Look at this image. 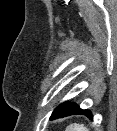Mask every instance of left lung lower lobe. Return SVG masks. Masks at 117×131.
I'll return each instance as SVG.
<instances>
[{"instance_id": "left-lung-lower-lobe-1", "label": "left lung lower lobe", "mask_w": 117, "mask_h": 131, "mask_svg": "<svg viewBox=\"0 0 117 131\" xmlns=\"http://www.w3.org/2000/svg\"><path fill=\"white\" fill-rule=\"evenodd\" d=\"M74 114H82L87 116L88 118L92 119V114L88 110H83L80 109L78 105L76 104H71L67 109H65L59 117H65L69 115H74Z\"/></svg>"}]
</instances>
